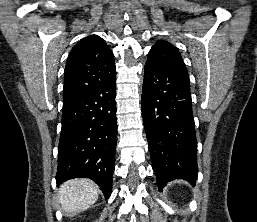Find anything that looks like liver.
Listing matches in <instances>:
<instances>
[{
	"instance_id": "6515ba94",
	"label": "liver",
	"mask_w": 257,
	"mask_h": 222,
	"mask_svg": "<svg viewBox=\"0 0 257 222\" xmlns=\"http://www.w3.org/2000/svg\"><path fill=\"white\" fill-rule=\"evenodd\" d=\"M99 189L90 179H72L61 185L59 202L67 213L81 212L98 200Z\"/></svg>"
}]
</instances>
